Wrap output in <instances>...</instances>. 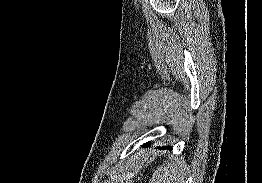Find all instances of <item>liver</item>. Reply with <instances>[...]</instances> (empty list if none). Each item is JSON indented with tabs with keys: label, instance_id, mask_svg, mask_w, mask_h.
I'll return each instance as SVG.
<instances>
[{
	"label": "liver",
	"instance_id": "6515ba94",
	"mask_svg": "<svg viewBox=\"0 0 262 183\" xmlns=\"http://www.w3.org/2000/svg\"><path fill=\"white\" fill-rule=\"evenodd\" d=\"M184 168V160L174 156L170 163L165 161L163 165L157 167L149 183H183Z\"/></svg>",
	"mask_w": 262,
	"mask_h": 183
}]
</instances>
